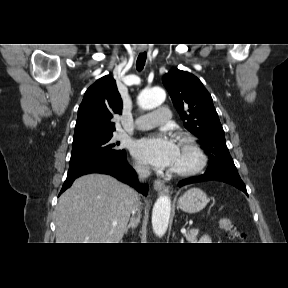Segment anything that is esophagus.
<instances>
[{"instance_id":"34e87169","label":"esophagus","mask_w":288,"mask_h":288,"mask_svg":"<svg viewBox=\"0 0 288 288\" xmlns=\"http://www.w3.org/2000/svg\"><path fill=\"white\" fill-rule=\"evenodd\" d=\"M143 51L144 50H141V52ZM153 187L159 194L170 195L173 192V187L170 185H167L164 181L160 179H157L154 181Z\"/></svg>"}]
</instances>
